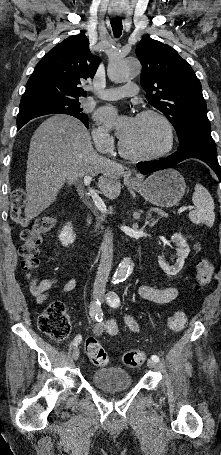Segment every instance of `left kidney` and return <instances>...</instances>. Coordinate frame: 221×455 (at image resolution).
Returning <instances> with one entry per match:
<instances>
[{
    "label": "left kidney",
    "mask_w": 221,
    "mask_h": 455,
    "mask_svg": "<svg viewBox=\"0 0 221 455\" xmlns=\"http://www.w3.org/2000/svg\"><path fill=\"white\" fill-rule=\"evenodd\" d=\"M172 242L177 246V260L174 265H169L166 263L163 257L158 258V263L161 269L168 275H176L184 266L185 259L188 257L190 252L189 245L187 244L185 238L178 233H175L171 237Z\"/></svg>",
    "instance_id": "5707ae66"
}]
</instances>
